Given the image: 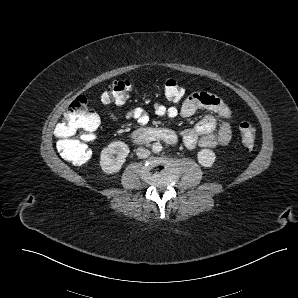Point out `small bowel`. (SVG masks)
<instances>
[{
    "label": "small bowel",
    "instance_id": "obj_1",
    "mask_svg": "<svg viewBox=\"0 0 298 298\" xmlns=\"http://www.w3.org/2000/svg\"><path fill=\"white\" fill-rule=\"evenodd\" d=\"M155 115L160 117L189 118L199 110L210 112L194 127L183 130L180 135L184 145L192 149L215 148L227 145L232 138V121L230 108L217 96L207 92L190 94L179 106H167L159 102L152 105ZM111 118L116 115L110 113ZM124 118L134 123L133 127H143L150 122L149 113L142 107L128 111Z\"/></svg>",
    "mask_w": 298,
    "mask_h": 298
}]
</instances>
